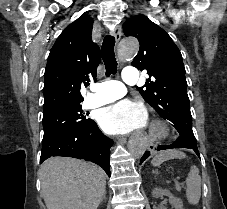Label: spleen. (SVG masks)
<instances>
[{
    "label": "spleen",
    "instance_id": "spleen-1",
    "mask_svg": "<svg viewBox=\"0 0 227 209\" xmlns=\"http://www.w3.org/2000/svg\"><path fill=\"white\" fill-rule=\"evenodd\" d=\"M170 159H186L185 153L177 151V149H168V151H160L158 155H155L151 163L154 167H160L164 161H170ZM186 197L190 205H198L201 197V177L199 175V169L193 165L190 167V173L186 179Z\"/></svg>",
    "mask_w": 227,
    "mask_h": 209
}]
</instances>
